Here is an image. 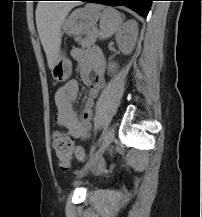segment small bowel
<instances>
[{
	"instance_id": "small-bowel-1",
	"label": "small bowel",
	"mask_w": 202,
	"mask_h": 217,
	"mask_svg": "<svg viewBox=\"0 0 202 217\" xmlns=\"http://www.w3.org/2000/svg\"><path fill=\"white\" fill-rule=\"evenodd\" d=\"M72 57L77 62V69L82 81L88 86V94L82 111L78 113L74 108V102L79 93L78 82L71 79L58 87L54 94L57 107L56 121L67 130L72 138L82 139L90 131L93 106L105 86V61L97 49H74L72 50ZM91 71L95 74L94 80L90 78Z\"/></svg>"
}]
</instances>
